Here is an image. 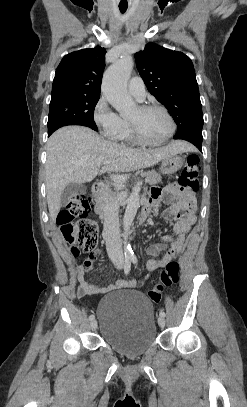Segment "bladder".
I'll return each mask as SVG.
<instances>
[{"label":"bladder","instance_id":"1","mask_svg":"<svg viewBox=\"0 0 247 407\" xmlns=\"http://www.w3.org/2000/svg\"><path fill=\"white\" fill-rule=\"evenodd\" d=\"M96 317L102 339L128 358L143 355L157 339L152 303L139 292L123 290L104 297Z\"/></svg>","mask_w":247,"mask_h":407}]
</instances>
